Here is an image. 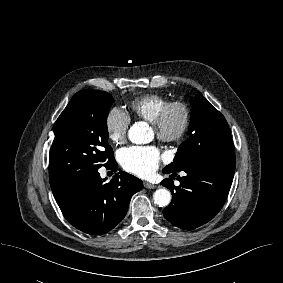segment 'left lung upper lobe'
<instances>
[{"mask_svg": "<svg viewBox=\"0 0 283 283\" xmlns=\"http://www.w3.org/2000/svg\"><path fill=\"white\" fill-rule=\"evenodd\" d=\"M191 108L189 138L180 145L174 161L165 170L179 171L193 164L235 157L231 133L224 116L200 94L191 100Z\"/></svg>", "mask_w": 283, "mask_h": 283, "instance_id": "left-lung-upper-lobe-1", "label": "left lung upper lobe"}]
</instances>
